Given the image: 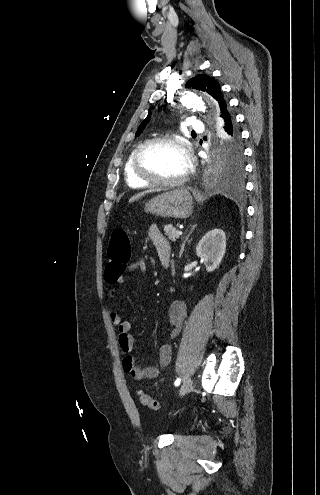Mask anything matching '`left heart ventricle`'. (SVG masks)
Here are the masks:
<instances>
[{
	"mask_svg": "<svg viewBox=\"0 0 320 495\" xmlns=\"http://www.w3.org/2000/svg\"><path fill=\"white\" fill-rule=\"evenodd\" d=\"M141 164L154 177L174 180L185 172L187 160L180 147L170 143H160L144 151Z\"/></svg>",
	"mask_w": 320,
	"mask_h": 495,
	"instance_id": "b2bd125f",
	"label": "left heart ventricle"
}]
</instances>
